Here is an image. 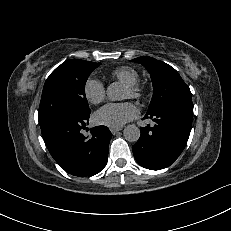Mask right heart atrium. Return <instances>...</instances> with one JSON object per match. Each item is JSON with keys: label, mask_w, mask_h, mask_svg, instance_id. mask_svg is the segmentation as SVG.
Returning a JSON list of instances; mask_svg holds the SVG:
<instances>
[{"label": "right heart atrium", "mask_w": 231, "mask_h": 231, "mask_svg": "<svg viewBox=\"0 0 231 231\" xmlns=\"http://www.w3.org/2000/svg\"><path fill=\"white\" fill-rule=\"evenodd\" d=\"M84 95L92 104H99L105 99V87L95 78L88 79L84 84Z\"/></svg>", "instance_id": "right-heart-atrium-1"}]
</instances>
